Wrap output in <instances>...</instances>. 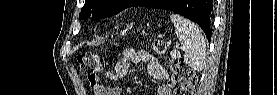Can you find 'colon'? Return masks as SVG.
I'll list each match as a JSON object with an SVG mask.
<instances>
[{
  "label": "colon",
  "instance_id": "1",
  "mask_svg": "<svg viewBox=\"0 0 277 95\" xmlns=\"http://www.w3.org/2000/svg\"><path fill=\"white\" fill-rule=\"evenodd\" d=\"M155 52L162 54L165 52L163 41L155 40L152 44ZM82 74L89 80L94 79L105 66V60L102 56L95 53L81 54L77 58ZM170 70L173 76L179 80L180 87L175 92L176 95H191L198 82L196 73L185 64L177 61L170 63Z\"/></svg>",
  "mask_w": 277,
  "mask_h": 95
}]
</instances>
